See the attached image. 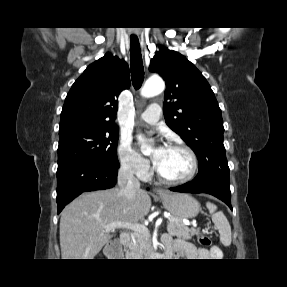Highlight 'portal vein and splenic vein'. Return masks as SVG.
Masks as SVG:
<instances>
[{
	"label": "portal vein and splenic vein",
	"instance_id": "obj_1",
	"mask_svg": "<svg viewBox=\"0 0 287 287\" xmlns=\"http://www.w3.org/2000/svg\"><path fill=\"white\" fill-rule=\"evenodd\" d=\"M167 218L170 219V217H167ZM104 227H105L106 232L110 230H114L116 228L130 229L134 232H143V233L149 232L147 227L144 225L137 224V223L121 222V221H114L110 224L105 225Z\"/></svg>",
	"mask_w": 287,
	"mask_h": 287
}]
</instances>
